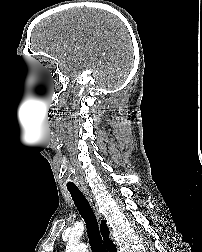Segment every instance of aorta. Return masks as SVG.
Listing matches in <instances>:
<instances>
[{"instance_id":"obj_1","label":"aorta","mask_w":202,"mask_h":252,"mask_svg":"<svg viewBox=\"0 0 202 252\" xmlns=\"http://www.w3.org/2000/svg\"><path fill=\"white\" fill-rule=\"evenodd\" d=\"M66 252H88V250L83 244L69 243L66 247Z\"/></svg>"}]
</instances>
